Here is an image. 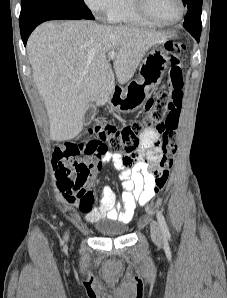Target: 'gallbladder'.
Listing matches in <instances>:
<instances>
[{
	"instance_id": "bac80fb5",
	"label": "gallbladder",
	"mask_w": 227,
	"mask_h": 298,
	"mask_svg": "<svg viewBox=\"0 0 227 298\" xmlns=\"http://www.w3.org/2000/svg\"><path fill=\"white\" fill-rule=\"evenodd\" d=\"M96 115V107L92 103L88 106L85 111L83 123L84 125H89Z\"/></svg>"
}]
</instances>
